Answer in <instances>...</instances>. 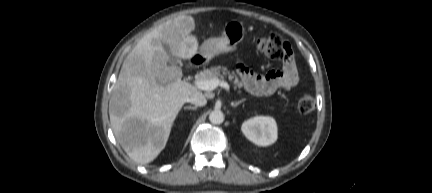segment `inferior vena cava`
I'll return each instance as SVG.
<instances>
[{
    "label": "inferior vena cava",
    "instance_id": "inferior-vena-cava-1",
    "mask_svg": "<svg viewBox=\"0 0 432 193\" xmlns=\"http://www.w3.org/2000/svg\"><path fill=\"white\" fill-rule=\"evenodd\" d=\"M189 102L195 106H204L207 103L206 97L200 91H195L191 94Z\"/></svg>",
    "mask_w": 432,
    "mask_h": 193
}]
</instances>
